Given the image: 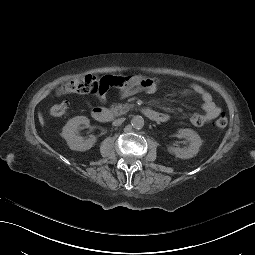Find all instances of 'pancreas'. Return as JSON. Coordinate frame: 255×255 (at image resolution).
Returning a JSON list of instances; mask_svg holds the SVG:
<instances>
[{
	"mask_svg": "<svg viewBox=\"0 0 255 255\" xmlns=\"http://www.w3.org/2000/svg\"><path fill=\"white\" fill-rule=\"evenodd\" d=\"M109 108L110 110L119 115L121 114L124 110L128 111L129 108H131V105L130 104H117V103H114L112 105H109Z\"/></svg>",
	"mask_w": 255,
	"mask_h": 255,
	"instance_id": "cf45deb5",
	"label": "pancreas"
}]
</instances>
